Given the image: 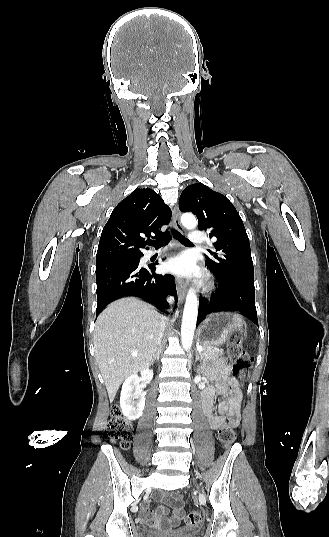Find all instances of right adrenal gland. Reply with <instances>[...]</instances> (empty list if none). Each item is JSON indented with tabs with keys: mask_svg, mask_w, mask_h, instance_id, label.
<instances>
[{
	"mask_svg": "<svg viewBox=\"0 0 329 537\" xmlns=\"http://www.w3.org/2000/svg\"><path fill=\"white\" fill-rule=\"evenodd\" d=\"M160 352H161V347L159 346V347L157 348V352H156V354H155V356H154V358H153V360H152V364L154 363L155 360H157V361L159 360Z\"/></svg>",
	"mask_w": 329,
	"mask_h": 537,
	"instance_id": "right-adrenal-gland-1",
	"label": "right adrenal gland"
}]
</instances>
